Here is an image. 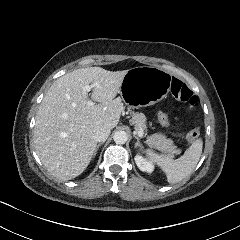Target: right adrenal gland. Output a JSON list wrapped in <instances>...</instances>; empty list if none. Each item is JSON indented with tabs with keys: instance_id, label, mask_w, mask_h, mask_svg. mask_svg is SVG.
Here are the masks:
<instances>
[{
	"instance_id": "2a0ac1e0",
	"label": "right adrenal gland",
	"mask_w": 240,
	"mask_h": 240,
	"mask_svg": "<svg viewBox=\"0 0 240 240\" xmlns=\"http://www.w3.org/2000/svg\"><path fill=\"white\" fill-rule=\"evenodd\" d=\"M102 144H103V142L99 143V144L96 146V149H95L94 154H93V156H92L93 158L96 156L97 151H98L99 147H100Z\"/></svg>"
}]
</instances>
